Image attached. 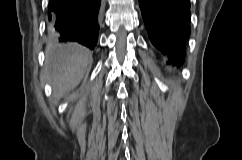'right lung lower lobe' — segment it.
Returning a JSON list of instances; mask_svg holds the SVG:
<instances>
[{
	"mask_svg": "<svg viewBox=\"0 0 242 160\" xmlns=\"http://www.w3.org/2000/svg\"><path fill=\"white\" fill-rule=\"evenodd\" d=\"M101 3L102 0H49V34L61 42L76 41L94 49Z\"/></svg>",
	"mask_w": 242,
	"mask_h": 160,
	"instance_id": "98d812e1",
	"label": "right lung lower lobe"
}]
</instances>
